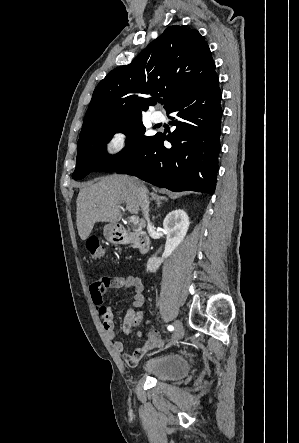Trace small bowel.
Returning <instances> with one entry per match:
<instances>
[{
	"instance_id": "small-bowel-1",
	"label": "small bowel",
	"mask_w": 299,
	"mask_h": 443,
	"mask_svg": "<svg viewBox=\"0 0 299 443\" xmlns=\"http://www.w3.org/2000/svg\"><path fill=\"white\" fill-rule=\"evenodd\" d=\"M122 288H131L135 291L133 296L132 305L127 308L125 316L123 318L122 329L126 335H129L133 328H135L143 316L142 313L136 312L135 308L141 307L144 304V284L138 276H114V277H101L97 280H93L89 285V293L91 300L102 316V325L107 336L114 340L113 348L118 354H122L123 361L128 366H135L138 360L146 354L148 351L163 347L165 345V339L161 336L160 332L155 329L147 330L145 333V342L131 353H124V343L119 340H115L116 332L113 322L112 308L105 304L104 294L108 290H117ZM150 321L145 320V325L148 327Z\"/></svg>"
}]
</instances>
